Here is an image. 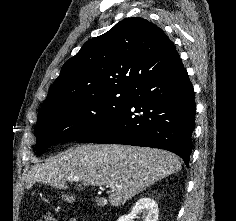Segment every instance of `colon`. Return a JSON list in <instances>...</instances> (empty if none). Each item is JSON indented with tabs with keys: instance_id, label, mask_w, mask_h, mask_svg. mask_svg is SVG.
I'll use <instances>...</instances> for the list:
<instances>
[{
	"instance_id": "obj_1",
	"label": "colon",
	"mask_w": 236,
	"mask_h": 221,
	"mask_svg": "<svg viewBox=\"0 0 236 221\" xmlns=\"http://www.w3.org/2000/svg\"><path fill=\"white\" fill-rule=\"evenodd\" d=\"M33 221H57L55 216L51 213L44 214L41 218L35 219ZM69 221H75L74 219H71Z\"/></svg>"
}]
</instances>
